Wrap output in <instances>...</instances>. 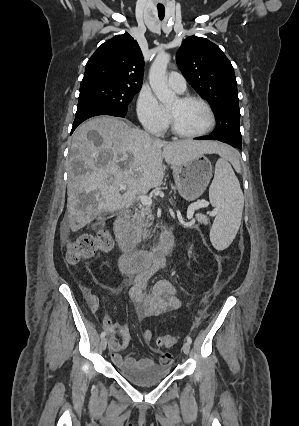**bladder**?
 <instances>
[{
  "mask_svg": "<svg viewBox=\"0 0 299 426\" xmlns=\"http://www.w3.org/2000/svg\"><path fill=\"white\" fill-rule=\"evenodd\" d=\"M120 375L130 383L139 387L154 386L163 381L170 373L168 366H149L144 368L126 369L119 371Z\"/></svg>",
  "mask_w": 299,
  "mask_h": 426,
  "instance_id": "31cf9c89",
  "label": "bladder"
}]
</instances>
